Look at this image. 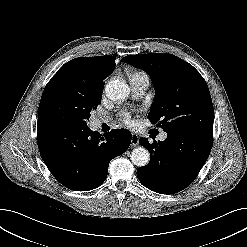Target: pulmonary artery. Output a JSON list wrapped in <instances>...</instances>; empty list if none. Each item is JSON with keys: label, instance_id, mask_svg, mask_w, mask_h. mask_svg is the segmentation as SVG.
<instances>
[{"label": "pulmonary artery", "instance_id": "1", "mask_svg": "<svg viewBox=\"0 0 247 247\" xmlns=\"http://www.w3.org/2000/svg\"><path fill=\"white\" fill-rule=\"evenodd\" d=\"M129 84H130L132 97L135 99H139L144 95L145 91L149 86V77L144 73L133 75L129 78ZM105 121H106L105 119L96 118L94 119V125L96 127H99ZM166 137L167 135L165 133H162L160 135L161 140L166 139Z\"/></svg>", "mask_w": 247, "mask_h": 247}]
</instances>
